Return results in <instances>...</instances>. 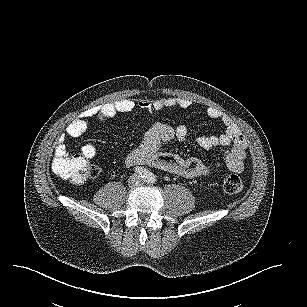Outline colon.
I'll return each instance as SVG.
<instances>
[{
    "label": "colon",
    "instance_id": "1",
    "mask_svg": "<svg viewBox=\"0 0 307 307\" xmlns=\"http://www.w3.org/2000/svg\"><path fill=\"white\" fill-rule=\"evenodd\" d=\"M53 169L59 176L73 182H83L98 175L99 170L82 155H71L56 159ZM223 190L228 194H236L244 189V180L235 173H224L221 179Z\"/></svg>",
    "mask_w": 307,
    "mask_h": 307
}]
</instances>
